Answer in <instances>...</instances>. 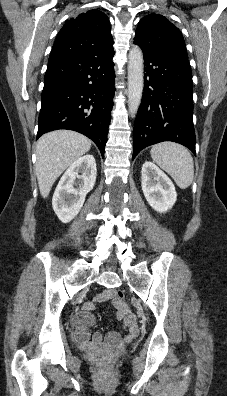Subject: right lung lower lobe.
<instances>
[{
	"label": "right lung lower lobe",
	"instance_id": "obj_1",
	"mask_svg": "<svg viewBox=\"0 0 227 396\" xmlns=\"http://www.w3.org/2000/svg\"><path fill=\"white\" fill-rule=\"evenodd\" d=\"M113 45L75 58L48 63L37 139L69 129L95 142L102 156L113 107Z\"/></svg>",
	"mask_w": 227,
	"mask_h": 396
}]
</instances>
